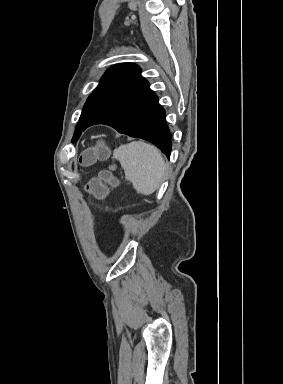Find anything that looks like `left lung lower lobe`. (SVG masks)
<instances>
[{
	"label": "left lung lower lobe",
	"instance_id": "left-lung-lower-lobe-1",
	"mask_svg": "<svg viewBox=\"0 0 283 384\" xmlns=\"http://www.w3.org/2000/svg\"><path fill=\"white\" fill-rule=\"evenodd\" d=\"M95 124H106L120 133L147 140L170 158L171 134L166 124L165 110L147 80L86 128Z\"/></svg>",
	"mask_w": 283,
	"mask_h": 384
}]
</instances>
